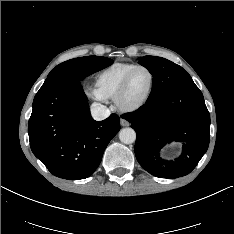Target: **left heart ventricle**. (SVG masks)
I'll return each mask as SVG.
<instances>
[{"instance_id":"b2bd125f","label":"left heart ventricle","mask_w":234,"mask_h":234,"mask_svg":"<svg viewBox=\"0 0 234 234\" xmlns=\"http://www.w3.org/2000/svg\"><path fill=\"white\" fill-rule=\"evenodd\" d=\"M151 83V76L146 70H138L131 78L128 91L125 95L124 102L131 105L139 102L147 94Z\"/></svg>"}]
</instances>
